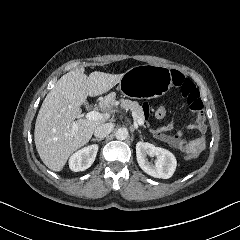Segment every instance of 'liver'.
<instances>
[{
	"label": "liver",
	"instance_id": "obj_1",
	"mask_svg": "<svg viewBox=\"0 0 240 240\" xmlns=\"http://www.w3.org/2000/svg\"><path fill=\"white\" fill-rule=\"evenodd\" d=\"M123 74L112 75L94 71L86 75L82 68L63 75L47 94L35 124V145L41 160L51 170L62 168L72 151L84 145L101 121L82 117L80 105L88 95H100L114 87ZM100 107L111 108L105 97Z\"/></svg>",
	"mask_w": 240,
	"mask_h": 240
}]
</instances>
